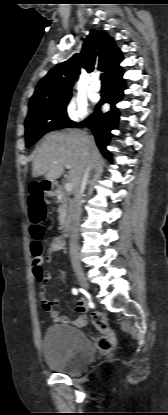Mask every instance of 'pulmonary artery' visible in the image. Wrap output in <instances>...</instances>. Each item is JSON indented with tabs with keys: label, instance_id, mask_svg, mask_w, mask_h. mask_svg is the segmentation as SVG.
Segmentation results:
<instances>
[{
	"label": "pulmonary artery",
	"instance_id": "e3ab8cb5",
	"mask_svg": "<svg viewBox=\"0 0 168 415\" xmlns=\"http://www.w3.org/2000/svg\"><path fill=\"white\" fill-rule=\"evenodd\" d=\"M90 87H91V89H92L93 91H95V92H98V91H100V90H101V84H100V82H99V80H98L97 76H94V77H93V79H92V81H91V84H90Z\"/></svg>",
	"mask_w": 168,
	"mask_h": 415
}]
</instances>
